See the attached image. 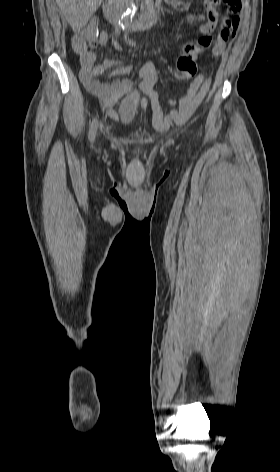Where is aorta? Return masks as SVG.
<instances>
[{"mask_svg":"<svg viewBox=\"0 0 280 472\" xmlns=\"http://www.w3.org/2000/svg\"><path fill=\"white\" fill-rule=\"evenodd\" d=\"M137 6L132 5L130 6L126 12L124 13L123 17L121 18L120 25L124 28L128 27L130 22L132 21V18L134 14L136 13Z\"/></svg>","mask_w":280,"mask_h":472,"instance_id":"762f6f07","label":"aorta"}]
</instances>
